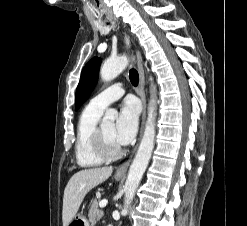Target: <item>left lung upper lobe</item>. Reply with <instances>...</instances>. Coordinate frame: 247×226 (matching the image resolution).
I'll return each instance as SVG.
<instances>
[{"label": "left lung upper lobe", "instance_id": "left-lung-upper-lobe-1", "mask_svg": "<svg viewBox=\"0 0 247 226\" xmlns=\"http://www.w3.org/2000/svg\"><path fill=\"white\" fill-rule=\"evenodd\" d=\"M101 59L92 58L83 68L79 84L76 89L75 109L77 110L93 91L99 74Z\"/></svg>", "mask_w": 247, "mask_h": 226}]
</instances>
